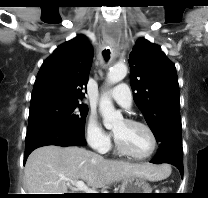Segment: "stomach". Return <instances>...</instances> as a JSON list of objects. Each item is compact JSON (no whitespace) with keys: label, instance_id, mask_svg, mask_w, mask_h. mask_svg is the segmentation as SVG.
<instances>
[{"label":"stomach","instance_id":"0dacf381","mask_svg":"<svg viewBox=\"0 0 208 198\" xmlns=\"http://www.w3.org/2000/svg\"><path fill=\"white\" fill-rule=\"evenodd\" d=\"M149 183L141 177H129L122 182L119 193L129 198H144L146 194H124V193H152Z\"/></svg>","mask_w":208,"mask_h":198}]
</instances>
